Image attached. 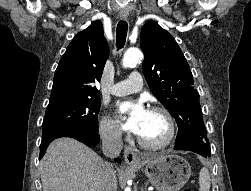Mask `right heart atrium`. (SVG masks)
I'll use <instances>...</instances> for the list:
<instances>
[{"label": "right heart atrium", "mask_w": 251, "mask_h": 191, "mask_svg": "<svg viewBox=\"0 0 251 191\" xmlns=\"http://www.w3.org/2000/svg\"><path fill=\"white\" fill-rule=\"evenodd\" d=\"M101 140L109 145H117L122 140V132L118 125L109 117H102L98 125Z\"/></svg>", "instance_id": "obj_1"}]
</instances>
